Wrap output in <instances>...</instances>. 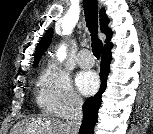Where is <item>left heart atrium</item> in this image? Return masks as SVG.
Returning <instances> with one entry per match:
<instances>
[{"label": "left heart atrium", "instance_id": "1", "mask_svg": "<svg viewBox=\"0 0 153 134\" xmlns=\"http://www.w3.org/2000/svg\"><path fill=\"white\" fill-rule=\"evenodd\" d=\"M78 89L84 95L93 94L99 85L98 76L92 71L80 72L76 77Z\"/></svg>", "mask_w": 153, "mask_h": 134}]
</instances>
